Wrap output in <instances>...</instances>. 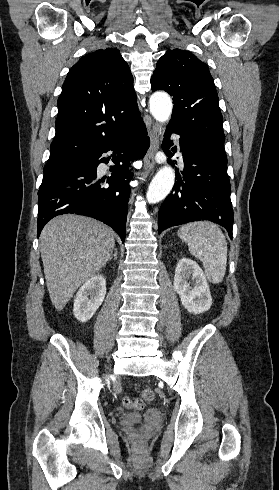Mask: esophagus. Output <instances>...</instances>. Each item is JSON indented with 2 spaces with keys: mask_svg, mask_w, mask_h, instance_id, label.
Segmentation results:
<instances>
[{
  "mask_svg": "<svg viewBox=\"0 0 279 490\" xmlns=\"http://www.w3.org/2000/svg\"><path fill=\"white\" fill-rule=\"evenodd\" d=\"M150 147L144 157V169L152 170L155 165V153L159 149L161 127L158 124H154L151 127L150 133Z\"/></svg>",
  "mask_w": 279,
  "mask_h": 490,
  "instance_id": "esophagus-1",
  "label": "esophagus"
}]
</instances>
